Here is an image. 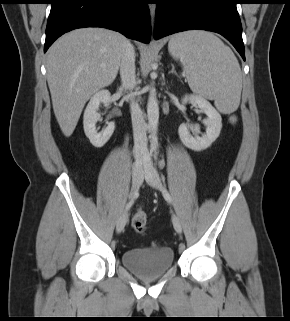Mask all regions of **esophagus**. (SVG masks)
<instances>
[{"label": "esophagus", "mask_w": 290, "mask_h": 321, "mask_svg": "<svg viewBox=\"0 0 290 321\" xmlns=\"http://www.w3.org/2000/svg\"><path fill=\"white\" fill-rule=\"evenodd\" d=\"M155 9H156V6H155L154 4L149 5V10H150V16H151V20H152V25H153L154 17H155Z\"/></svg>", "instance_id": "esophagus-1"}]
</instances>
